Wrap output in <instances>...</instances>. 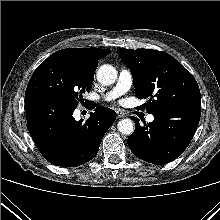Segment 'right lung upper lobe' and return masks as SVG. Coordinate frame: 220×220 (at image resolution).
I'll use <instances>...</instances> for the list:
<instances>
[{
  "mask_svg": "<svg viewBox=\"0 0 220 220\" xmlns=\"http://www.w3.org/2000/svg\"><path fill=\"white\" fill-rule=\"evenodd\" d=\"M110 50L100 48H67L54 53V55L70 57L80 62L84 67L95 71L98 60L107 56Z\"/></svg>",
  "mask_w": 220,
  "mask_h": 220,
  "instance_id": "1",
  "label": "right lung upper lobe"
}]
</instances>
